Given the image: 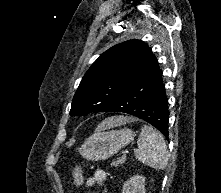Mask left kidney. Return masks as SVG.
<instances>
[{"instance_id": "left-kidney-1", "label": "left kidney", "mask_w": 221, "mask_h": 193, "mask_svg": "<svg viewBox=\"0 0 221 193\" xmlns=\"http://www.w3.org/2000/svg\"><path fill=\"white\" fill-rule=\"evenodd\" d=\"M122 193H145V178L140 175L131 177L124 183Z\"/></svg>"}]
</instances>
